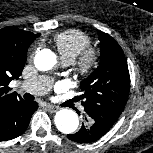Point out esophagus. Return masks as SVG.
Wrapping results in <instances>:
<instances>
[{
	"label": "esophagus",
	"instance_id": "1",
	"mask_svg": "<svg viewBox=\"0 0 153 153\" xmlns=\"http://www.w3.org/2000/svg\"><path fill=\"white\" fill-rule=\"evenodd\" d=\"M45 107H46L47 110L50 111V112H56V111L59 109L58 106H54V105H50V104L45 105Z\"/></svg>",
	"mask_w": 153,
	"mask_h": 153
}]
</instances>
